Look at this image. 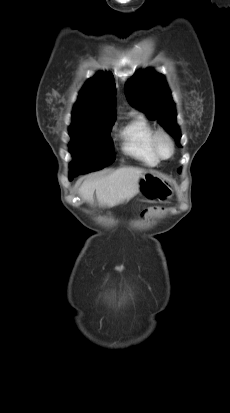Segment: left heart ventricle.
Segmentation results:
<instances>
[{"instance_id": "left-heart-ventricle-1", "label": "left heart ventricle", "mask_w": 230, "mask_h": 413, "mask_svg": "<svg viewBox=\"0 0 230 413\" xmlns=\"http://www.w3.org/2000/svg\"><path fill=\"white\" fill-rule=\"evenodd\" d=\"M159 148L163 155L167 156L170 154V147L166 141L161 140L159 143Z\"/></svg>"}]
</instances>
